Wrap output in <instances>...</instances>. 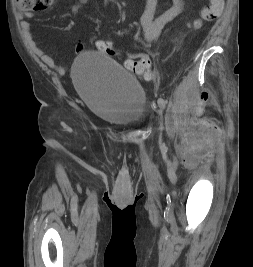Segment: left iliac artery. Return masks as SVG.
Returning <instances> with one entry per match:
<instances>
[{"label":"left iliac artery","mask_w":253,"mask_h":267,"mask_svg":"<svg viewBox=\"0 0 253 267\" xmlns=\"http://www.w3.org/2000/svg\"><path fill=\"white\" fill-rule=\"evenodd\" d=\"M158 104H159V106H160L161 108H165V106H166V101H165L164 99H162V98H159V99H158Z\"/></svg>","instance_id":"1"}]
</instances>
